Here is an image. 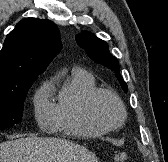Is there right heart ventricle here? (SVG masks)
<instances>
[{"instance_id":"e07e8e85","label":"right heart ventricle","mask_w":168,"mask_h":162,"mask_svg":"<svg viewBox=\"0 0 168 162\" xmlns=\"http://www.w3.org/2000/svg\"><path fill=\"white\" fill-rule=\"evenodd\" d=\"M95 89L97 82L92 73L84 69L72 70L57 95L51 124L71 136L103 135L106 131L96 126L86 113L87 97Z\"/></svg>"}]
</instances>
